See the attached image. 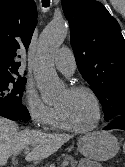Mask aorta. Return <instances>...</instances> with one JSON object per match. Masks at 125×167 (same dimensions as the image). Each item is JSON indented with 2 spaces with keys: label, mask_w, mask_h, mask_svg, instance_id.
Segmentation results:
<instances>
[{
  "label": "aorta",
  "mask_w": 125,
  "mask_h": 167,
  "mask_svg": "<svg viewBox=\"0 0 125 167\" xmlns=\"http://www.w3.org/2000/svg\"><path fill=\"white\" fill-rule=\"evenodd\" d=\"M67 35V25L64 20H53L42 31L39 38L37 61L34 76L41 98L45 103L55 101L63 90L59 81L52 56L61 46Z\"/></svg>",
  "instance_id": "obj_1"
}]
</instances>
